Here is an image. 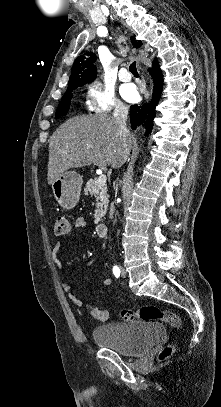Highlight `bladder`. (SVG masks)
<instances>
[{"instance_id":"bladder-1","label":"bladder","mask_w":221,"mask_h":407,"mask_svg":"<svg viewBox=\"0 0 221 407\" xmlns=\"http://www.w3.org/2000/svg\"><path fill=\"white\" fill-rule=\"evenodd\" d=\"M164 332L161 324L125 322L99 325L92 335L98 346L114 349L124 356H137L145 353Z\"/></svg>"}]
</instances>
